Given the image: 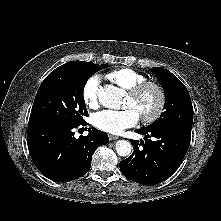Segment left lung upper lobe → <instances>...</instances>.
I'll list each match as a JSON object with an SVG mask.
<instances>
[{"label":"left lung upper lobe","mask_w":221,"mask_h":221,"mask_svg":"<svg viewBox=\"0 0 221 221\" xmlns=\"http://www.w3.org/2000/svg\"><path fill=\"white\" fill-rule=\"evenodd\" d=\"M152 71L156 74L165 91V111L158 120L144 129L177 128L191 131L193 107L187 88L167 69L154 67Z\"/></svg>","instance_id":"5c2ea615"}]
</instances>
